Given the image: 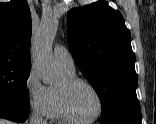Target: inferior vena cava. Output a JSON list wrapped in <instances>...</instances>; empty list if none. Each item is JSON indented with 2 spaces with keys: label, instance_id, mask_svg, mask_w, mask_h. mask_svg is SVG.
<instances>
[{
  "label": "inferior vena cava",
  "instance_id": "602c4592",
  "mask_svg": "<svg viewBox=\"0 0 156 124\" xmlns=\"http://www.w3.org/2000/svg\"><path fill=\"white\" fill-rule=\"evenodd\" d=\"M29 124H47L43 118L33 111Z\"/></svg>",
  "mask_w": 156,
  "mask_h": 124
}]
</instances>
